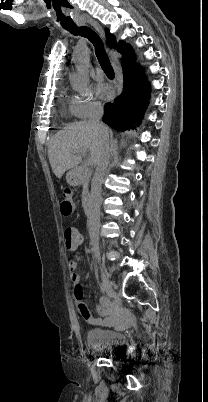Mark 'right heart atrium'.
<instances>
[{"label":"right heart atrium","instance_id":"d8ad5b80","mask_svg":"<svg viewBox=\"0 0 208 402\" xmlns=\"http://www.w3.org/2000/svg\"><path fill=\"white\" fill-rule=\"evenodd\" d=\"M101 109L102 103L93 88L79 90L73 98V111L79 119H88Z\"/></svg>","mask_w":208,"mask_h":402}]
</instances>
